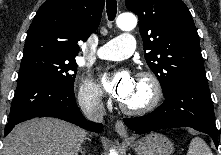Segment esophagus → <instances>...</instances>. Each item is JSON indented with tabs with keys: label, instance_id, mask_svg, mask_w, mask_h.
<instances>
[{
	"label": "esophagus",
	"instance_id": "1",
	"mask_svg": "<svg viewBox=\"0 0 221 155\" xmlns=\"http://www.w3.org/2000/svg\"><path fill=\"white\" fill-rule=\"evenodd\" d=\"M115 130L121 137H128V132L125 124L121 120H117L115 123Z\"/></svg>",
	"mask_w": 221,
	"mask_h": 155
}]
</instances>
